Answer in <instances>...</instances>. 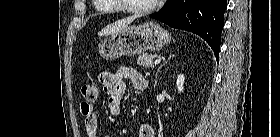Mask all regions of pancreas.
Masks as SVG:
<instances>
[{
    "label": "pancreas",
    "instance_id": "obj_1",
    "mask_svg": "<svg viewBox=\"0 0 280 137\" xmlns=\"http://www.w3.org/2000/svg\"><path fill=\"white\" fill-rule=\"evenodd\" d=\"M154 58H155V55L143 53V54L139 55V57L137 59V64L141 65L143 67L153 68L154 67V63H153Z\"/></svg>",
    "mask_w": 280,
    "mask_h": 137
}]
</instances>
